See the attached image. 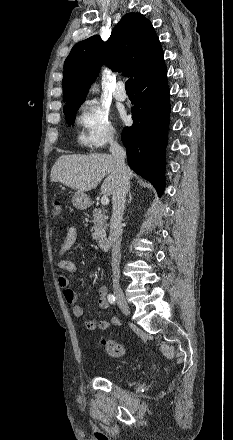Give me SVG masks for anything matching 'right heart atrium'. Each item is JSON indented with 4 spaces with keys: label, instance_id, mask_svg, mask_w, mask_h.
Masks as SVG:
<instances>
[{
    "label": "right heart atrium",
    "instance_id": "d8ad5b80",
    "mask_svg": "<svg viewBox=\"0 0 233 440\" xmlns=\"http://www.w3.org/2000/svg\"><path fill=\"white\" fill-rule=\"evenodd\" d=\"M80 127L79 143L90 151H98L111 143L116 132L109 113L98 102L89 100L82 103L77 115Z\"/></svg>",
    "mask_w": 233,
    "mask_h": 440
}]
</instances>
